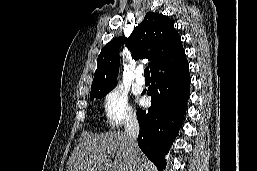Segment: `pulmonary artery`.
I'll list each match as a JSON object with an SVG mask.
<instances>
[{
    "label": "pulmonary artery",
    "instance_id": "pulmonary-artery-1",
    "mask_svg": "<svg viewBox=\"0 0 257 171\" xmlns=\"http://www.w3.org/2000/svg\"><path fill=\"white\" fill-rule=\"evenodd\" d=\"M135 81L138 85H144L145 84V79L142 75V69L141 68L137 69Z\"/></svg>",
    "mask_w": 257,
    "mask_h": 171
}]
</instances>
